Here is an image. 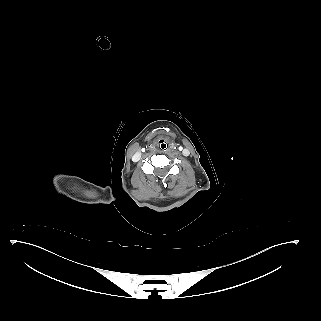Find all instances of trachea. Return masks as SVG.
I'll list each match as a JSON object with an SVG mask.
<instances>
[{"mask_svg": "<svg viewBox=\"0 0 321 321\" xmlns=\"http://www.w3.org/2000/svg\"><path fill=\"white\" fill-rule=\"evenodd\" d=\"M160 149H161L162 151H165V150L167 149V145H166L165 143H162V144L160 145Z\"/></svg>", "mask_w": 321, "mask_h": 321, "instance_id": "trachea-1", "label": "trachea"}]
</instances>
